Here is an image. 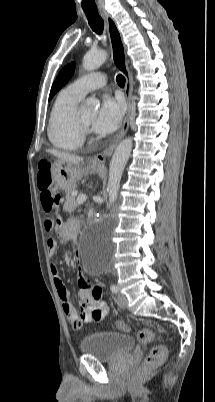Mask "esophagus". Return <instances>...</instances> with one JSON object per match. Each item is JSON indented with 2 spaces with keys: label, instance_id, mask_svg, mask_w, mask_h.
Listing matches in <instances>:
<instances>
[{
  "label": "esophagus",
  "instance_id": "34e87169",
  "mask_svg": "<svg viewBox=\"0 0 215 402\" xmlns=\"http://www.w3.org/2000/svg\"><path fill=\"white\" fill-rule=\"evenodd\" d=\"M101 17L104 19L108 34H109V39H110V44H111V50H112V59L117 67V69L123 74L125 77V97L128 105V110L127 114L125 116V119L123 121V125L121 128V131L117 138L107 147L102 153H99L95 155L92 160L91 164L93 166L97 167H102L105 164L106 158L109 157L119 141L124 137L126 134L128 127H129V120H130V115L132 111V80H131V75L128 69V64H127V59H126V49L124 42L122 40V35L117 27V24L113 17L104 9H101L100 11Z\"/></svg>",
  "mask_w": 215,
  "mask_h": 402
}]
</instances>
